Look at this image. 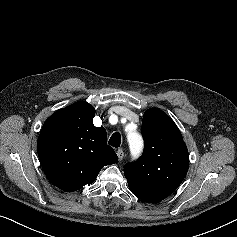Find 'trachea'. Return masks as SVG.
Returning a JSON list of instances; mask_svg holds the SVG:
<instances>
[{
	"label": "trachea",
	"instance_id": "3493384b",
	"mask_svg": "<svg viewBox=\"0 0 237 237\" xmlns=\"http://www.w3.org/2000/svg\"><path fill=\"white\" fill-rule=\"evenodd\" d=\"M109 145H111L112 147L118 148L120 147L121 144V135L118 132H115L111 138L109 139Z\"/></svg>",
	"mask_w": 237,
	"mask_h": 237
}]
</instances>
